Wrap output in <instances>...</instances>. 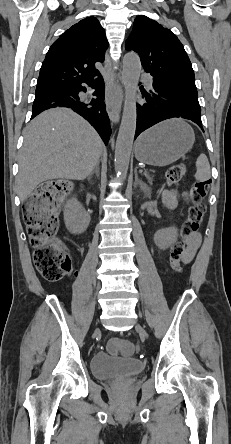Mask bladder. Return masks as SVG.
<instances>
[{
	"label": "bladder",
	"instance_id": "31cf9c89",
	"mask_svg": "<svg viewBox=\"0 0 231 444\" xmlns=\"http://www.w3.org/2000/svg\"><path fill=\"white\" fill-rule=\"evenodd\" d=\"M144 369V363L139 360L116 358L104 351L96 352L91 359V371L98 379L137 375Z\"/></svg>",
	"mask_w": 231,
	"mask_h": 444
}]
</instances>
